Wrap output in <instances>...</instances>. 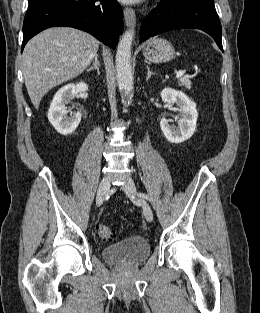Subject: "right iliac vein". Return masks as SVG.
Listing matches in <instances>:
<instances>
[{"label": "right iliac vein", "instance_id": "right-iliac-vein-1", "mask_svg": "<svg viewBox=\"0 0 260 313\" xmlns=\"http://www.w3.org/2000/svg\"><path fill=\"white\" fill-rule=\"evenodd\" d=\"M110 188V178L105 177L99 184L97 193H96V205L99 207L102 205L107 192Z\"/></svg>", "mask_w": 260, "mask_h": 313}]
</instances>
